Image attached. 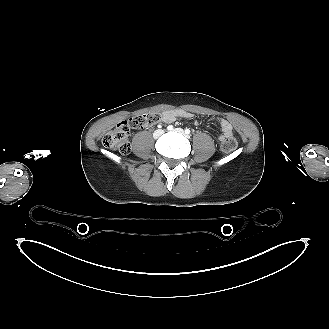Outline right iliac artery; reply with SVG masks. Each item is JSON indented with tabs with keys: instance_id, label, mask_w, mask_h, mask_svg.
<instances>
[{
	"instance_id": "82829eb1",
	"label": "right iliac artery",
	"mask_w": 329,
	"mask_h": 329,
	"mask_svg": "<svg viewBox=\"0 0 329 329\" xmlns=\"http://www.w3.org/2000/svg\"><path fill=\"white\" fill-rule=\"evenodd\" d=\"M167 129H168V130H173L174 127H173L172 125H169V126L167 127Z\"/></svg>"
}]
</instances>
